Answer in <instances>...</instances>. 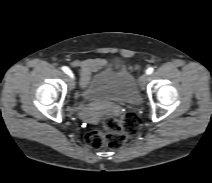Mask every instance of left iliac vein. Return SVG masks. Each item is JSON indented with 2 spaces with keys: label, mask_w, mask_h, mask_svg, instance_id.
<instances>
[{
  "label": "left iliac vein",
  "mask_w": 212,
  "mask_h": 183,
  "mask_svg": "<svg viewBox=\"0 0 212 183\" xmlns=\"http://www.w3.org/2000/svg\"><path fill=\"white\" fill-rule=\"evenodd\" d=\"M147 79H148V75L147 74H142L140 77H139V85L140 87L143 89L146 85V82H147Z\"/></svg>",
  "instance_id": "1"
}]
</instances>
